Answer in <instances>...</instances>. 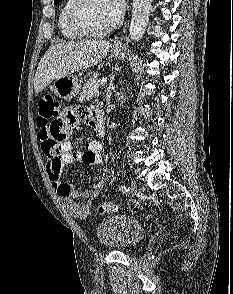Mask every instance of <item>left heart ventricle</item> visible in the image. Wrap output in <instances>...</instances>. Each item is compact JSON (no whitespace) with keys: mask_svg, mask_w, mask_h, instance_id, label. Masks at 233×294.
Instances as JSON below:
<instances>
[{"mask_svg":"<svg viewBox=\"0 0 233 294\" xmlns=\"http://www.w3.org/2000/svg\"><path fill=\"white\" fill-rule=\"evenodd\" d=\"M117 17L107 0H89L82 11V19L91 30L104 29Z\"/></svg>","mask_w":233,"mask_h":294,"instance_id":"obj_1","label":"left heart ventricle"}]
</instances>
